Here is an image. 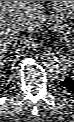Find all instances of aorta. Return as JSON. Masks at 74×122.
Returning <instances> with one entry per match:
<instances>
[{"label":"aorta","mask_w":74,"mask_h":122,"mask_svg":"<svg viewBox=\"0 0 74 122\" xmlns=\"http://www.w3.org/2000/svg\"><path fill=\"white\" fill-rule=\"evenodd\" d=\"M66 64V57L59 51L49 50L44 56V65L51 73H62Z\"/></svg>","instance_id":"1"}]
</instances>
